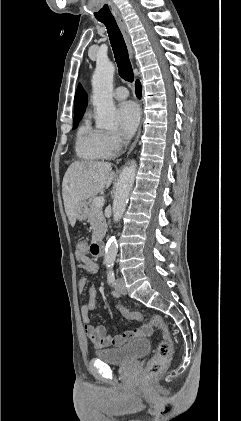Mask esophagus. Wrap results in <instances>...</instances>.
<instances>
[{
	"mask_svg": "<svg viewBox=\"0 0 241 421\" xmlns=\"http://www.w3.org/2000/svg\"><path fill=\"white\" fill-rule=\"evenodd\" d=\"M116 21H117V24H118V26H119L122 34H123V37L125 39V42L127 44L130 57L133 58V49H132V46H131L130 35H129V32H128V28L126 26V23H125L124 19L122 17H120V16L116 17ZM140 133H141V127L139 128V130L137 132V135H136V137H135V139H134V141H133L130 149L127 152V155H129L133 151V149L135 148V146H136V144H137V142L139 140Z\"/></svg>",
	"mask_w": 241,
	"mask_h": 421,
	"instance_id": "obj_1",
	"label": "esophagus"
}]
</instances>
